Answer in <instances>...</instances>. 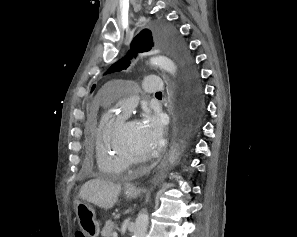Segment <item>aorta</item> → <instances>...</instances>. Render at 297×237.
I'll return each instance as SVG.
<instances>
[{
	"instance_id": "762f6f07",
	"label": "aorta",
	"mask_w": 297,
	"mask_h": 237,
	"mask_svg": "<svg viewBox=\"0 0 297 237\" xmlns=\"http://www.w3.org/2000/svg\"><path fill=\"white\" fill-rule=\"evenodd\" d=\"M159 45H164V43H160ZM167 46L172 50V45H167ZM150 62L152 65L158 66L172 75L176 73V70H177L176 65L168 57L157 56L152 58ZM148 224H149L148 213L146 211L140 212L135 221L133 237H145Z\"/></svg>"
}]
</instances>
